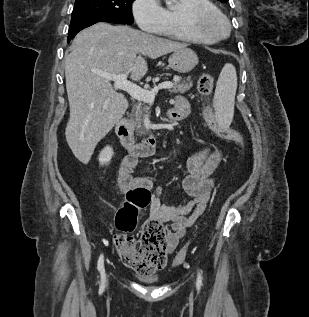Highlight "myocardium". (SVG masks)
<instances>
[{
    "instance_id": "myocardium-1",
    "label": "myocardium",
    "mask_w": 309,
    "mask_h": 317,
    "mask_svg": "<svg viewBox=\"0 0 309 317\" xmlns=\"http://www.w3.org/2000/svg\"><path fill=\"white\" fill-rule=\"evenodd\" d=\"M186 29L194 36L215 42L225 38L230 32V22L225 14L213 6L189 8L183 18ZM217 23L218 28H207V23Z\"/></svg>"
}]
</instances>
